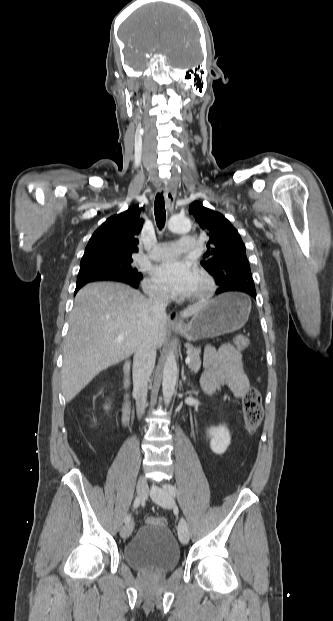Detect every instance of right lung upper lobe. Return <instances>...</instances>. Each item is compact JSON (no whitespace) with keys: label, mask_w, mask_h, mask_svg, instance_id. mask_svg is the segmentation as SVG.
I'll return each instance as SVG.
<instances>
[{"label":"right lung upper lobe","mask_w":333,"mask_h":621,"mask_svg":"<svg viewBox=\"0 0 333 621\" xmlns=\"http://www.w3.org/2000/svg\"><path fill=\"white\" fill-rule=\"evenodd\" d=\"M134 206L108 218L90 238L82 259L100 257H131L138 252V239L143 225L140 212Z\"/></svg>","instance_id":"1"}]
</instances>
